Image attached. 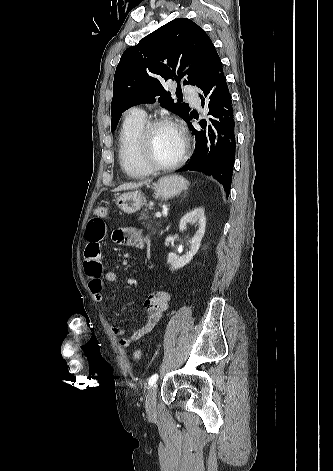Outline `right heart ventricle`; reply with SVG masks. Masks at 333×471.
I'll list each match as a JSON object with an SVG mask.
<instances>
[{
	"label": "right heart ventricle",
	"instance_id": "1",
	"mask_svg": "<svg viewBox=\"0 0 333 471\" xmlns=\"http://www.w3.org/2000/svg\"><path fill=\"white\" fill-rule=\"evenodd\" d=\"M145 124V117L128 114L118 135L120 166L127 176L134 179L144 178L153 172L142 163L138 152V138Z\"/></svg>",
	"mask_w": 333,
	"mask_h": 471
}]
</instances>
